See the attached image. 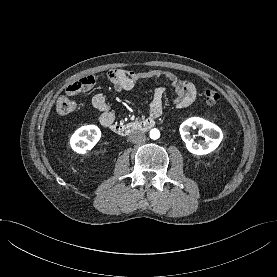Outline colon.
Returning a JSON list of instances; mask_svg holds the SVG:
<instances>
[{"label": "colon", "instance_id": "obj_1", "mask_svg": "<svg viewBox=\"0 0 277 277\" xmlns=\"http://www.w3.org/2000/svg\"><path fill=\"white\" fill-rule=\"evenodd\" d=\"M86 88L85 82L79 80L71 89L74 93L82 92ZM69 96H61L56 102V110L60 115H68L75 111L76 103ZM220 94L216 90L208 89L204 93V99L208 105H216L220 101Z\"/></svg>", "mask_w": 277, "mask_h": 277}]
</instances>
